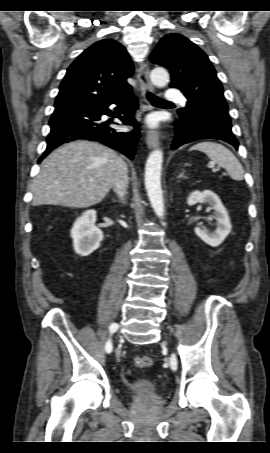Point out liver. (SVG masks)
Instances as JSON below:
<instances>
[{
    "mask_svg": "<svg viewBox=\"0 0 270 453\" xmlns=\"http://www.w3.org/2000/svg\"><path fill=\"white\" fill-rule=\"evenodd\" d=\"M118 159L113 150L96 142L61 146L41 163L32 185L33 206L87 208L100 203L113 186Z\"/></svg>",
    "mask_w": 270,
    "mask_h": 453,
    "instance_id": "1",
    "label": "liver"
}]
</instances>
